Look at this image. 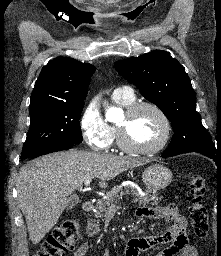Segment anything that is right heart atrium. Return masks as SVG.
I'll list each match as a JSON object with an SVG mask.
<instances>
[{
  "label": "right heart atrium",
  "instance_id": "d8ad5b80",
  "mask_svg": "<svg viewBox=\"0 0 221 256\" xmlns=\"http://www.w3.org/2000/svg\"><path fill=\"white\" fill-rule=\"evenodd\" d=\"M79 125L84 140L92 149L103 151L113 143L115 133L102 116L96 102L90 101L85 106Z\"/></svg>",
  "mask_w": 221,
  "mask_h": 256
}]
</instances>
